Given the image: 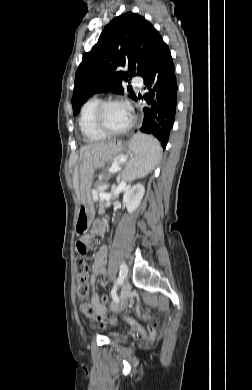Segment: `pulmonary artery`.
<instances>
[{"label": "pulmonary artery", "mask_w": 252, "mask_h": 390, "mask_svg": "<svg viewBox=\"0 0 252 390\" xmlns=\"http://www.w3.org/2000/svg\"><path fill=\"white\" fill-rule=\"evenodd\" d=\"M133 82H134V84H135L136 86H141V84H142L141 79L138 78V77H135V78L133 79Z\"/></svg>", "instance_id": "1"}]
</instances>
